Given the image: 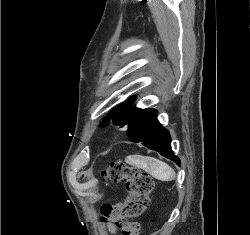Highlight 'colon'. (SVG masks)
<instances>
[{
	"label": "colon",
	"instance_id": "1",
	"mask_svg": "<svg viewBox=\"0 0 250 235\" xmlns=\"http://www.w3.org/2000/svg\"><path fill=\"white\" fill-rule=\"evenodd\" d=\"M103 178L108 183L123 182L127 197L123 203L103 205L102 222L116 225L122 235H140V224L135 218L141 216L149 206L152 177L137 167L115 161L107 167Z\"/></svg>",
	"mask_w": 250,
	"mask_h": 235
}]
</instances>
